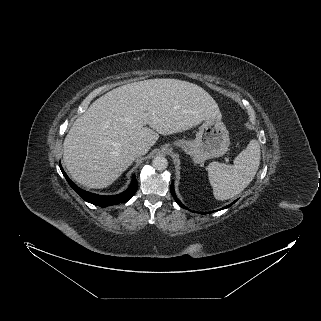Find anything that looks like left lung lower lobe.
Wrapping results in <instances>:
<instances>
[{
	"label": "left lung lower lobe",
	"instance_id": "left-lung-lower-lobe-1",
	"mask_svg": "<svg viewBox=\"0 0 321 321\" xmlns=\"http://www.w3.org/2000/svg\"><path fill=\"white\" fill-rule=\"evenodd\" d=\"M171 194H172V196H174V199H175V201L177 202V204H179V206H181L182 208L187 209V207H185V206L180 202V200L177 198V196L175 195L174 183H173V182H172V184H171ZM233 203H234V202H233ZM233 203H232V204H233ZM232 204L224 207V209H225V208H228V207L231 206Z\"/></svg>",
	"mask_w": 321,
	"mask_h": 321
}]
</instances>
